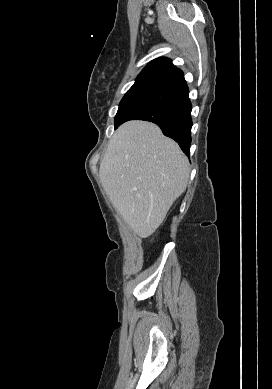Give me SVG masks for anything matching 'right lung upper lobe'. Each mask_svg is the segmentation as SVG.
I'll return each mask as SVG.
<instances>
[{
	"instance_id": "right-lung-upper-lobe-1",
	"label": "right lung upper lobe",
	"mask_w": 272,
	"mask_h": 389,
	"mask_svg": "<svg viewBox=\"0 0 272 389\" xmlns=\"http://www.w3.org/2000/svg\"><path fill=\"white\" fill-rule=\"evenodd\" d=\"M181 78L183 72L177 69L170 59L160 57L146 65L137 76L135 83H152L163 87Z\"/></svg>"
}]
</instances>
